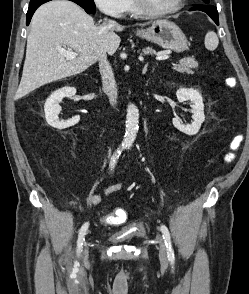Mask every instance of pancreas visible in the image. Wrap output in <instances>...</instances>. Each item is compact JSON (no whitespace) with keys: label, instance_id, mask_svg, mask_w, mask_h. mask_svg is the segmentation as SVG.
Wrapping results in <instances>:
<instances>
[{"label":"pancreas","instance_id":"obj_1","mask_svg":"<svg viewBox=\"0 0 249 294\" xmlns=\"http://www.w3.org/2000/svg\"><path fill=\"white\" fill-rule=\"evenodd\" d=\"M151 52V48H147L144 50V53ZM198 67V62L195 61L192 57L184 58L180 61L179 64H173V69L180 72V73H187V74H193L192 69H195Z\"/></svg>","mask_w":249,"mask_h":294}]
</instances>
